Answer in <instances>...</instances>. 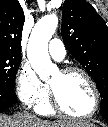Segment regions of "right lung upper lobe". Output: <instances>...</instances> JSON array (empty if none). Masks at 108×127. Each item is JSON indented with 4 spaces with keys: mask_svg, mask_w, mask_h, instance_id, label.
<instances>
[{
    "mask_svg": "<svg viewBox=\"0 0 108 127\" xmlns=\"http://www.w3.org/2000/svg\"><path fill=\"white\" fill-rule=\"evenodd\" d=\"M24 12L17 0H0V52L21 55Z\"/></svg>",
    "mask_w": 108,
    "mask_h": 127,
    "instance_id": "obj_1",
    "label": "right lung upper lobe"
}]
</instances>
